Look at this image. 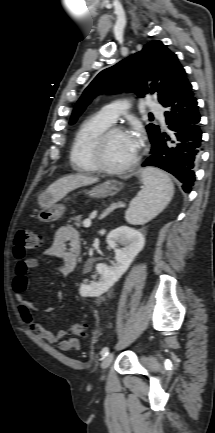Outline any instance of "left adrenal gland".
<instances>
[{
  "label": "left adrenal gland",
  "instance_id": "obj_1",
  "mask_svg": "<svg viewBox=\"0 0 215 433\" xmlns=\"http://www.w3.org/2000/svg\"><path fill=\"white\" fill-rule=\"evenodd\" d=\"M124 204L122 202H118V203H114L112 204L109 208H107L103 214L100 216V219L105 218L108 214H110L111 212H113L115 209L123 207Z\"/></svg>",
  "mask_w": 215,
  "mask_h": 433
}]
</instances>
